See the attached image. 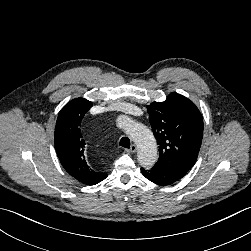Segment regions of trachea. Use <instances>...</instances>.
I'll list each match as a JSON object with an SVG mask.
<instances>
[{"mask_svg":"<svg viewBox=\"0 0 251 251\" xmlns=\"http://www.w3.org/2000/svg\"><path fill=\"white\" fill-rule=\"evenodd\" d=\"M119 145L125 148H130V139L128 137H122Z\"/></svg>","mask_w":251,"mask_h":251,"instance_id":"1","label":"trachea"}]
</instances>
